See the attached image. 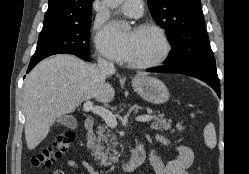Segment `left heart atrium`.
<instances>
[{
	"mask_svg": "<svg viewBox=\"0 0 249 174\" xmlns=\"http://www.w3.org/2000/svg\"><path fill=\"white\" fill-rule=\"evenodd\" d=\"M98 43L114 59L128 60L132 38L131 36L122 37L119 34L118 25L110 24L98 37Z\"/></svg>",
	"mask_w": 249,
	"mask_h": 174,
	"instance_id": "1",
	"label": "left heart atrium"
}]
</instances>
